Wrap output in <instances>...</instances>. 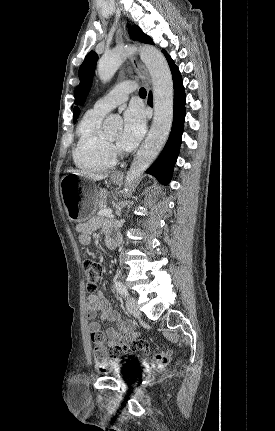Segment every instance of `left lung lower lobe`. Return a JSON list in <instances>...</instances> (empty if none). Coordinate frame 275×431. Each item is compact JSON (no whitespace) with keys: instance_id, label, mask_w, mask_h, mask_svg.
<instances>
[{"instance_id":"1","label":"left lung lower lobe","mask_w":275,"mask_h":431,"mask_svg":"<svg viewBox=\"0 0 275 431\" xmlns=\"http://www.w3.org/2000/svg\"><path fill=\"white\" fill-rule=\"evenodd\" d=\"M163 53L167 58L173 78L174 117L171 133L163 151L146 172L155 176L162 184L168 185L180 150L185 120L186 96L178 67L165 51ZM148 104L152 106L151 92L149 93Z\"/></svg>"}]
</instances>
